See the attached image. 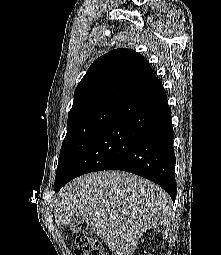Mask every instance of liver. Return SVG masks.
<instances>
[{
    "label": "liver",
    "instance_id": "liver-1",
    "mask_svg": "<svg viewBox=\"0 0 221 255\" xmlns=\"http://www.w3.org/2000/svg\"><path fill=\"white\" fill-rule=\"evenodd\" d=\"M171 214L170 196L157 184L122 171L86 174L65 185L54 200L57 226L76 217L116 255H131L138 240Z\"/></svg>",
    "mask_w": 221,
    "mask_h": 255
}]
</instances>
